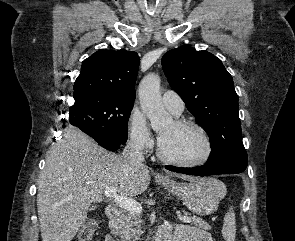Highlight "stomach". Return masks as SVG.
<instances>
[{
	"mask_svg": "<svg viewBox=\"0 0 295 241\" xmlns=\"http://www.w3.org/2000/svg\"><path fill=\"white\" fill-rule=\"evenodd\" d=\"M164 187L178 196L187 208L198 215H210L226 194L225 185L216 179H195L187 182L161 180Z\"/></svg>",
	"mask_w": 295,
	"mask_h": 241,
	"instance_id": "0dacf381",
	"label": "stomach"
}]
</instances>
